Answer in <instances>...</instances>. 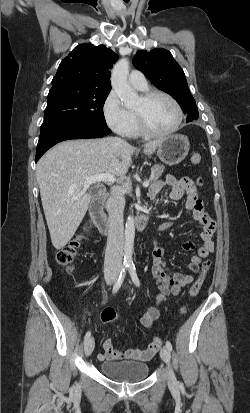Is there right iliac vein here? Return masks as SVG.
Wrapping results in <instances>:
<instances>
[{
  "mask_svg": "<svg viewBox=\"0 0 250 413\" xmlns=\"http://www.w3.org/2000/svg\"><path fill=\"white\" fill-rule=\"evenodd\" d=\"M117 277V274L115 272L109 273L106 276V282L107 284H112ZM94 349V339L92 337L88 338L85 343H84V352L86 356L91 355Z\"/></svg>",
  "mask_w": 250,
  "mask_h": 413,
  "instance_id": "right-iliac-vein-1",
  "label": "right iliac vein"
}]
</instances>
